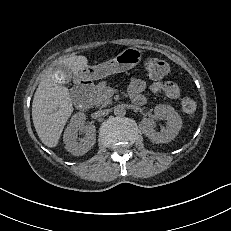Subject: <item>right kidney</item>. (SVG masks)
<instances>
[{"mask_svg": "<svg viewBox=\"0 0 231 231\" xmlns=\"http://www.w3.org/2000/svg\"><path fill=\"white\" fill-rule=\"evenodd\" d=\"M86 116L84 113H77L72 116L67 126L63 140L65 148L74 156H80L87 153L95 144L96 128L94 125H85ZM78 132L85 134L78 139Z\"/></svg>", "mask_w": 231, "mask_h": 231, "instance_id": "ca27d5eb", "label": "right kidney"}]
</instances>
